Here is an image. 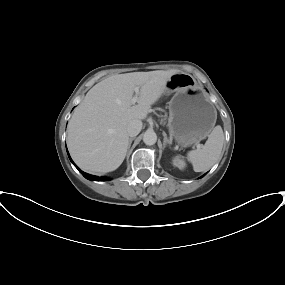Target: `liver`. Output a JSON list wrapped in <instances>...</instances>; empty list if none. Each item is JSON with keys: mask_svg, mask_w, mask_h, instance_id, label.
I'll return each mask as SVG.
<instances>
[{"mask_svg": "<svg viewBox=\"0 0 285 285\" xmlns=\"http://www.w3.org/2000/svg\"><path fill=\"white\" fill-rule=\"evenodd\" d=\"M179 70L132 72L110 76L94 85L75 109L67 143L75 163L89 173H107L123 162L129 145L127 125L143 120ZM140 92L131 104L134 88Z\"/></svg>", "mask_w": 285, "mask_h": 285, "instance_id": "6515ba94", "label": "liver"}]
</instances>
